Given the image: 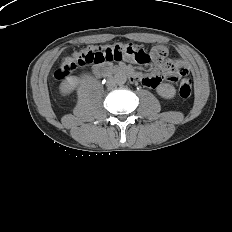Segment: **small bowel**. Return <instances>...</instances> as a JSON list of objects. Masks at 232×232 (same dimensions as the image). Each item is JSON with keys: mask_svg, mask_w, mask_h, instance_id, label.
<instances>
[{"mask_svg": "<svg viewBox=\"0 0 232 232\" xmlns=\"http://www.w3.org/2000/svg\"><path fill=\"white\" fill-rule=\"evenodd\" d=\"M175 66L177 68H185L184 62L180 59L175 60ZM186 69V68H185ZM166 77V72L162 68L161 65L156 66V70L154 73L141 77V81L144 85L148 87H155L161 83L163 79Z\"/></svg>", "mask_w": 232, "mask_h": 232, "instance_id": "small-bowel-1", "label": "small bowel"}]
</instances>
